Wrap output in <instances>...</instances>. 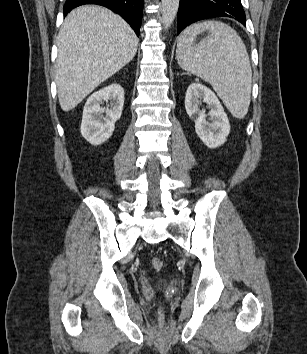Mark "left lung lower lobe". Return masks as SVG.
<instances>
[{"instance_id": "obj_1", "label": "left lung lower lobe", "mask_w": 307, "mask_h": 354, "mask_svg": "<svg viewBox=\"0 0 307 354\" xmlns=\"http://www.w3.org/2000/svg\"><path fill=\"white\" fill-rule=\"evenodd\" d=\"M215 17L233 18L246 26L241 0H180L177 33L193 22Z\"/></svg>"}]
</instances>
